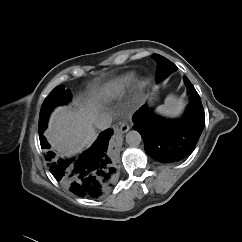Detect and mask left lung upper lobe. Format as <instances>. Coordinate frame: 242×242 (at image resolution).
Wrapping results in <instances>:
<instances>
[{
    "mask_svg": "<svg viewBox=\"0 0 242 242\" xmlns=\"http://www.w3.org/2000/svg\"><path fill=\"white\" fill-rule=\"evenodd\" d=\"M152 57L157 62V71H156V80L159 81L161 78L167 77L171 72L177 69V66L174 65L167 58L159 55L153 54Z\"/></svg>",
    "mask_w": 242,
    "mask_h": 242,
    "instance_id": "5c2ea615",
    "label": "left lung upper lobe"
}]
</instances>
